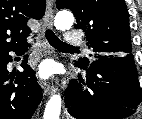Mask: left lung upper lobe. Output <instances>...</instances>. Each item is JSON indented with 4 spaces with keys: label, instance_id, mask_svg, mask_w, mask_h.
<instances>
[{
    "label": "left lung upper lobe",
    "instance_id": "5c2ea615",
    "mask_svg": "<svg viewBox=\"0 0 142 119\" xmlns=\"http://www.w3.org/2000/svg\"><path fill=\"white\" fill-rule=\"evenodd\" d=\"M56 7L73 12L77 20L75 28L85 31L86 44L93 49L94 59L133 57L129 17L123 0H56ZM90 63L85 58L75 64L85 69Z\"/></svg>",
    "mask_w": 142,
    "mask_h": 119
}]
</instances>
